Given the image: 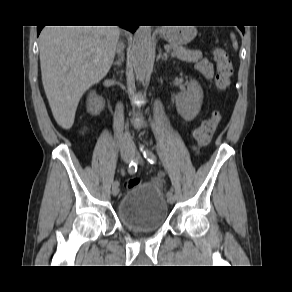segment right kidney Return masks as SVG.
I'll list each match as a JSON object with an SVG mask.
<instances>
[{"label":"right kidney","instance_id":"obj_1","mask_svg":"<svg viewBox=\"0 0 292 292\" xmlns=\"http://www.w3.org/2000/svg\"><path fill=\"white\" fill-rule=\"evenodd\" d=\"M104 108L102 97L96 95L95 91L90 92L87 103V110L93 115H98Z\"/></svg>","mask_w":292,"mask_h":292}]
</instances>
